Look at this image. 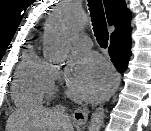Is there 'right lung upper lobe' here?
Returning <instances> with one entry per match:
<instances>
[{
  "label": "right lung upper lobe",
  "mask_w": 151,
  "mask_h": 131,
  "mask_svg": "<svg viewBox=\"0 0 151 131\" xmlns=\"http://www.w3.org/2000/svg\"><path fill=\"white\" fill-rule=\"evenodd\" d=\"M109 25L115 26L111 43L131 40V12L124 0H103Z\"/></svg>",
  "instance_id": "1"
}]
</instances>
